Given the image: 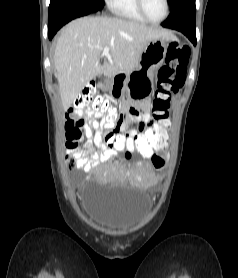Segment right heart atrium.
I'll use <instances>...</instances> for the list:
<instances>
[{
  "label": "right heart atrium",
  "mask_w": 238,
  "mask_h": 278,
  "mask_svg": "<svg viewBox=\"0 0 238 278\" xmlns=\"http://www.w3.org/2000/svg\"><path fill=\"white\" fill-rule=\"evenodd\" d=\"M105 1H106L107 4H109L111 0H105Z\"/></svg>",
  "instance_id": "obj_1"
}]
</instances>
